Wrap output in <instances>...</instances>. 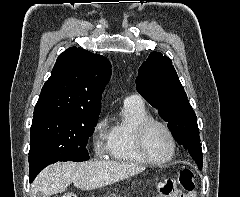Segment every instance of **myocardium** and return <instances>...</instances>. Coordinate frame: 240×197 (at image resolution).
I'll use <instances>...</instances> for the list:
<instances>
[{
	"label": "myocardium",
	"instance_id": "f54148a6",
	"mask_svg": "<svg viewBox=\"0 0 240 197\" xmlns=\"http://www.w3.org/2000/svg\"><path fill=\"white\" fill-rule=\"evenodd\" d=\"M152 125L161 126L166 131V133L168 134V136L170 138L172 149H171V154L166 159H163V160L153 159L147 152V149L145 146V134H146V131L148 130V128ZM133 141H134L135 148H136L137 152L139 153V155L146 162L153 164V165L161 166V165H165V164L171 162L175 158V155L177 152V141L173 134V131L171 130V128L168 126L167 123H165L164 121L157 119V118L148 117V118L144 119L143 121L139 122L133 130Z\"/></svg>",
	"mask_w": 240,
	"mask_h": 197
}]
</instances>
